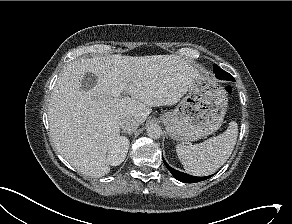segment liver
<instances>
[{
  "label": "liver",
  "instance_id": "obj_1",
  "mask_svg": "<svg viewBox=\"0 0 292 224\" xmlns=\"http://www.w3.org/2000/svg\"><path fill=\"white\" fill-rule=\"evenodd\" d=\"M88 73L96 77L93 86L84 82ZM198 74L191 61L174 54L73 61L61 71L49 101L57 151L84 175L108 174L107 154L120 137L119 119L129 116L144 123L151 107L176 104ZM114 89L129 96H115Z\"/></svg>",
  "mask_w": 292,
  "mask_h": 224
}]
</instances>
